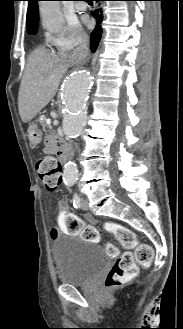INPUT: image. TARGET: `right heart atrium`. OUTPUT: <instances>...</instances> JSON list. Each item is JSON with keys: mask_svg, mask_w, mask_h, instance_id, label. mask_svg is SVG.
<instances>
[{"mask_svg": "<svg viewBox=\"0 0 183 329\" xmlns=\"http://www.w3.org/2000/svg\"><path fill=\"white\" fill-rule=\"evenodd\" d=\"M47 40L59 50L66 51L73 46L86 41V34L78 22L69 24L56 35L47 34Z\"/></svg>", "mask_w": 183, "mask_h": 329, "instance_id": "right-heart-atrium-1", "label": "right heart atrium"}]
</instances>
